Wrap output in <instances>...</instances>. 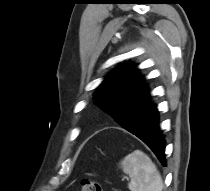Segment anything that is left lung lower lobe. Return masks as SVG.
Segmentation results:
<instances>
[{"label":"left lung lower lobe","mask_w":210,"mask_h":191,"mask_svg":"<svg viewBox=\"0 0 210 191\" xmlns=\"http://www.w3.org/2000/svg\"><path fill=\"white\" fill-rule=\"evenodd\" d=\"M127 121L136 122V127L131 131L140 138L154 152L163 166H167L165 160V139L159 127V114L151 96L142 103L130 109ZM130 132V131H129Z\"/></svg>","instance_id":"left-lung-lower-lobe-1"}]
</instances>
